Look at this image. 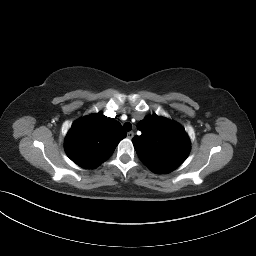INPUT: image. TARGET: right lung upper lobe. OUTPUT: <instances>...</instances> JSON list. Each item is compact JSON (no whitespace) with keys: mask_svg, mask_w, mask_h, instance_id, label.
<instances>
[{"mask_svg":"<svg viewBox=\"0 0 256 256\" xmlns=\"http://www.w3.org/2000/svg\"><path fill=\"white\" fill-rule=\"evenodd\" d=\"M125 137L126 132L119 122L99 112L74 122L65 139V151L80 167L96 168L112 155Z\"/></svg>","mask_w":256,"mask_h":256,"instance_id":"right-lung-upper-lobe-1","label":"right lung upper lobe"}]
</instances>
